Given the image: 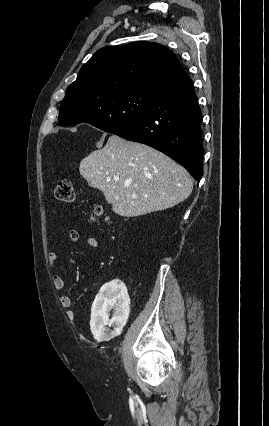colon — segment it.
<instances>
[{
    "mask_svg": "<svg viewBox=\"0 0 269 426\" xmlns=\"http://www.w3.org/2000/svg\"><path fill=\"white\" fill-rule=\"evenodd\" d=\"M55 197L58 201L70 203L75 199L73 184L70 180H60L55 188ZM91 220L93 222L107 221L104 216L103 209L100 206H95L91 213Z\"/></svg>",
    "mask_w": 269,
    "mask_h": 426,
    "instance_id": "colon-1",
    "label": "colon"
}]
</instances>
